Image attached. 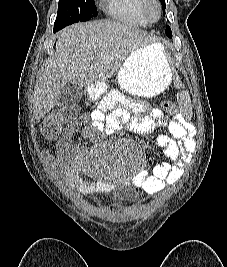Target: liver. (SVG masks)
I'll return each mask as SVG.
<instances>
[{"instance_id":"obj_1","label":"liver","mask_w":227,"mask_h":267,"mask_svg":"<svg viewBox=\"0 0 227 267\" xmlns=\"http://www.w3.org/2000/svg\"><path fill=\"white\" fill-rule=\"evenodd\" d=\"M151 42L152 38L135 25L116 21L79 23L60 31L55 53L36 80L34 117L40 120L50 112L66 85L89 87L104 82L119 71L132 52Z\"/></svg>"}]
</instances>
